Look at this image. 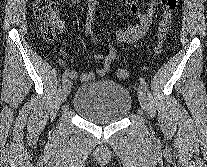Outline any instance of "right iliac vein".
<instances>
[{
  "mask_svg": "<svg viewBox=\"0 0 207 167\" xmlns=\"http://www.w3.org/2000/svg\"><path fill=\"white\" fill-rule=\"evenodd\" d=\"M72 83L69 79L63 84L62 91H61V102H65L70 90H71Z\"/></svg>",
  "mask_w": 207,
  "mask_h": 167,
  "instance_id": "63e3f726",
  "label": "right iliac vein"
}]
</instances>
